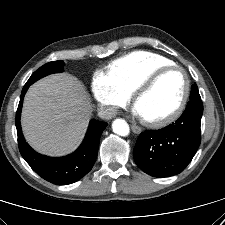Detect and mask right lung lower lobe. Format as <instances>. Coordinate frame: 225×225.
Masks as SVG:
<instances>
[{"mask_svg":"<svg viewBox=\"0 0 225 225\" xmlns=\"http://www.w3.org/2000/svg\"><path fill=\"white\" fill-rule=\"evenodd\" d=\"M30 85L28 82L25 84L16 112L15 124L20 153L30 167L43 179L56 185L76 182L92 169L97 158L100 137L107 123L91 120L82 145L73 154L61 158L40 155L26 143L20 125L23 97Z\"/></svg>","mask_w":225,"mask_h":225,"instance_id":"right-lung-lower-lobe-1","label":"right lung lower lobe"}]
</instances>
